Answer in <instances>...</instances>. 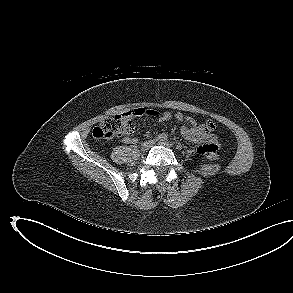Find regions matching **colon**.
Listing matches in <instances>:
<instances>
[{
    "label": "colon",
    "mask_w": 293,
    "mask_h": 293,
    "mask_svg": "<svg viewBox=\"0 0 293 293\" xmlns=\"http://www.w3.org/2000/svg\"><path fill=\"white\" fill-rule=\"evenodd\" d=\"M135 132V125L129 119L123 115H117L104 120L98 126H96L92 135L96 140L109 139L113 137L131 135ZM201 154H206L208 159L211 161H217L218 155L214 151H210L203 147L199 151Z\"/></svg>",
    "instance_id": "5ec220e1"
}]
</instances>
